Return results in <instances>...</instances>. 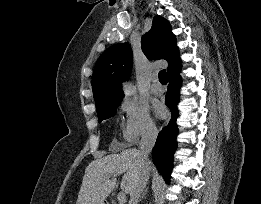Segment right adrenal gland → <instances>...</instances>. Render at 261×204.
I'll return each mask as SVG.
<instances>
[{"label": "right adrenal gland", "mask_w": 261, "mask_h": 204, "mask_svg": "<svg viewBox=\"0 0 261 204\" xmlns=\"http://www.w3.org/2000/svg\"><path fill=\"white\" fill-rule=\"evenodd\" d=\"M146 193H147V190L144 191V193H143L142 196H141V199L145 198ZM141 199H140V200H141Z\"/></svg>", "instance_id": "obj_1"}]
</instances>
